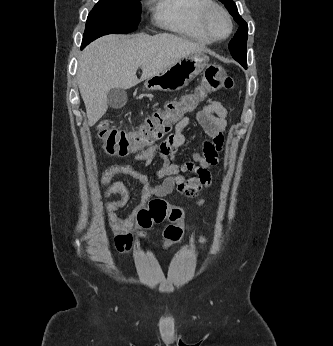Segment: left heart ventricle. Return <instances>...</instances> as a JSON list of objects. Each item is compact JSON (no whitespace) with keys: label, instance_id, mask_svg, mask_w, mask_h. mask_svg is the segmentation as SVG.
I'll use <instances>...</instances> for the list:
<instances>
[{"label":"left heart ventricle","instance_id":"b2bd125f","mask_svg":"<svg viewBox=\"0 0 333 346\" xmlns=\"http://www.w3.org/2000/svg\"><path fill=\"white\" fill-rule=\"evenodd\" d=\"M210 25L213 33L218 37L224 36L228 31V22L220 13L212 15Z\"/></svg>","mask_w":333,"mask_h":346}]
</instances>
